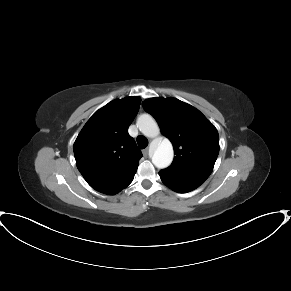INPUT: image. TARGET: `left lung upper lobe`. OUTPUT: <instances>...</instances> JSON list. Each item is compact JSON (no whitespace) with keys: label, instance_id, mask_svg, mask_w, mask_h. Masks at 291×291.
I'll list each match as a JSON object with an SVG mask.
<instances>
[{"label":"left lung upper lobe","instance_id":"1","mask_svg":"<svg viewBox=\"0 0 291 291\" xmlns=\"http://www.w3.org/2000/svg\"><path fill=\"white\" fill-rule=\"evenodd\" d=\"M173 144L172 164L159 172L180 181L202 184L219 153L217 129L193 106L176 98H151L142 103Z\"/></svg>","mask_w":291,"mask_h":291}]
</instances>
